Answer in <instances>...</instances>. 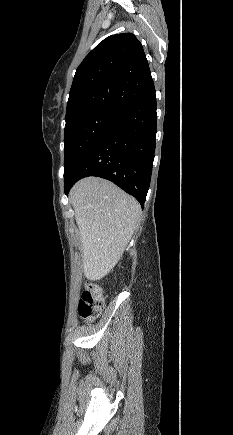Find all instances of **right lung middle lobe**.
Here are the masks:
<instances>
[{
	"label": "right lung middle lobe",
	"instance_id": "obj_1",
	"mask_svg": "<svg viewBox=\"0 0 233 435\" xmlns=\"http://www.w3.org/2000/svg\"><path fill=\"white\" fill-rule=\"evenodd\" d=\"M121 112L111 108H98L66 119L64 178Z\"/></svg>",
	"mask_w": 233,
	"mask_h": 435
}]
</instances>
